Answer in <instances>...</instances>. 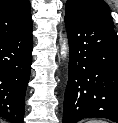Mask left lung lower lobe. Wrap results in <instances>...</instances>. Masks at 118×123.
I'll return each mask as SVG.
<instances>
[{"label":"left lung lower lobe","instance_id":"obj_1","mask_svg":"<svg viewBox=\"0 0 118 123\" xmlns=\"http://www.w3.org/2000/svg\"><path fill=\"white\" fill-rule=\"evenodd\" d=\"M69 74L63 123L101 117L118 123V37L113 27L65 17Z\"/></svg>","mask_w":118,"mask_h":123}]
</instances>
